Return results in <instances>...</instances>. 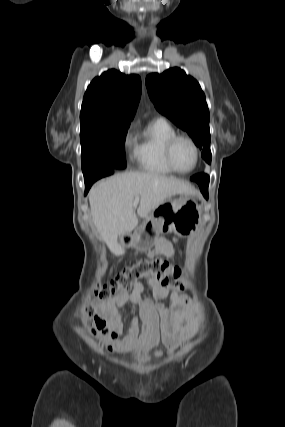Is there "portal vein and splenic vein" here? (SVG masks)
<instances>
[{
	"mask_svg": "<svg viewBox=\"0 0 285 427\" xmlns=\"http://www.w3.org/2000/svg\"><path fill=\"white\" fill-rule=\"evenodd\" d=\"M139 200H140V198H139L138 196H136V197H135V200H134V206H137V205H138Z\"/></svg>",
	"mask_w": 285,
	"mask_h": 427,
	"instance_id": "18ae733b",
	"label": "portal vein and splenic vein"
}]
</instances>
